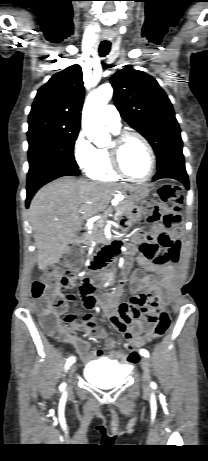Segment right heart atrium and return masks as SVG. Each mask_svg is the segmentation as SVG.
I'll return each mask as SVG.
<instances>
[{"instance_id":"right-heart-atrium-1","label":"right heart atrium","mask_w":208,"mask_h":461,"mask_svg":"<svg viewBox=\"0 0 208 461\" xmlns=\"http://www.w3.org/2000/svg\"><path fill=\"white\" fill-rule=\"evenodd\" d=\"M95 147L83 131H80L73 145V156L77 166L86 170L94 158Z\"/></svg>"}]
</instances>
